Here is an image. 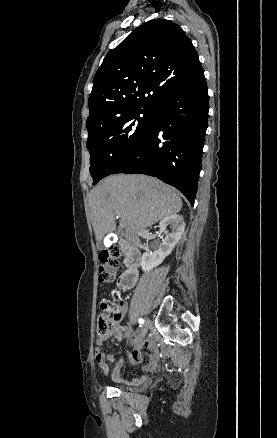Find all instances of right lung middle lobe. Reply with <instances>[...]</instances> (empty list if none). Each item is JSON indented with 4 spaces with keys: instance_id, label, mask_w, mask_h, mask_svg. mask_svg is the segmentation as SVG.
I'll return each mask as SVG.
<instances>
[{
    "instance_id": "1",
    "label": "right lung middle lobe",
    "mask_w": 277,
    "mask_h": 438,
    "mask_svg": "<svg viewBox=\"0 0 277 438\" xmlns=\"http://www.w3.org/2000/svg\"><path fill=\"white\" fill-rule=\"evenodd\" d=\"M153 109L117 116L87 128L90 173L95 185L113 174L144 139L152 125Z\"/></svg>"
}]
</instances>
